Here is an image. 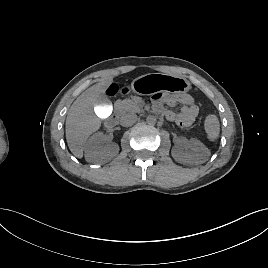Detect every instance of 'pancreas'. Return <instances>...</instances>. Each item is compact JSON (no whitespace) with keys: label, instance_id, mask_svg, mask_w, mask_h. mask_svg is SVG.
<instances>
[{"label":"pancreas","instance_id":"pancreas-1","mask_svg":"<svg viewBox=\"0 0 268 268\" xmlns=\"http://www.w3.org/2000/svg\"><path fill=\"white\" fill-rule=\"evenodd\" d=\"M143 106V100L137 96H133L131 99L120 100L115 103V108L120 114L126 112H139Z\"/></svg>","mask_w":268,"mask_h":268}]
</instances>
